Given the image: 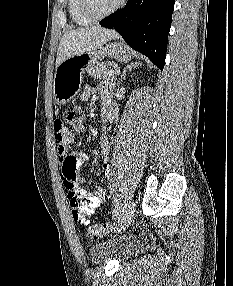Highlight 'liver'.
Masks as SVG:
<instances>
[{"label":"liver","instance_id":"6515ba94","mask_svg":"<svg viewBox=\"0 0 233 286\" xmlns=\"http://www.w3.org/2000/svg\"><path fill=\"white\" fill-rule=\"evenodd\" d=\"M118 37L116 31L98 25L68 30L64 33L58 47L56 67L73 55L97 50L107 41Z\"/></svg>","mask_w":233,"mask_h":286}]
</instances>
